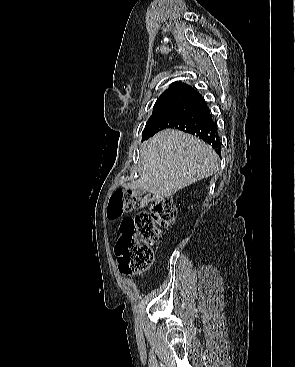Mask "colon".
<instances>
[{"instance_id": "colon-1", "label": "colon", "mask_w": 295, "mask_h": 367, "mask_svg": "<svg viewBox=\"0 0 295 367\" xmlns=\"http://www.w3.org/2000/svg\"><path fill=\"white\" fill-rule=\"evenodd\" d=\"M150 205V211L140 212L133 218H124L115 246L119 270L131 274L151 266L153 247L158 241L161 228L175 222L177 208L167 197L136 195L122 189L116 190L109 203L108 217L117 219L124 213Z\"/></svg>"}]
</instances>
